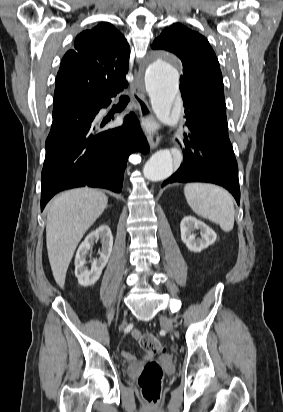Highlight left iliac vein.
Here are the masks:
<instances>
[{
    "label": "left iliac vein",
    "instance_id": "obj_1",
    "mask_svg": "<svg viewBox=\"0 0 283 412\" xmlns=\"http://www.w3.org/2000/svg\"><path fill=\"white\" fill-rule=\"evenodd\" d=\"M159 319H160V322L165 327V329H167L169 331H173V324H172V321L170 319H168L164 315H160Z\"/></svg>",
    "mask_w": 283,
    "mask_h": 412
}]
</instances>
